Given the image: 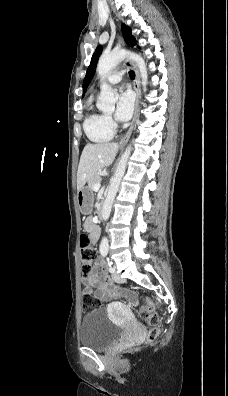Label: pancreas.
Returning <instances> with one entry per match:
<instances>
[{"label": "pancreas", "mask_w": 228, "mask_h": 396, "mask_svg": "<svg viewBox=\"0 0 228 396\" xmlns=\"http://www.w3.org/2000/svg\"><path fill=\"white\" fill-rule=\"evenodd\" d=\"M101 176L99 174H95L91 179L88 181V187L93 190L94 185L101 182Z\"/></svg>", "instance_id": "pancreas-1"}]
</instances>
